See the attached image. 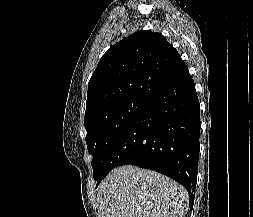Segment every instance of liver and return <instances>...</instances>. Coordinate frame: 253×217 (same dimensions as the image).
Listing matches in <instances>:
<instances>
[{
	"label": "liver",
	"instance_id": "6515ba94",
	"mask_svg": "<svg viewBox=\"0 0 253 217\" xmlns=\"http://www.w3.org/2000/svg\"><path fill=\"white\" fill-rule=\"evenodd\" d=\"M100 217H184L186 189L155 171L124 165L97 188Z\"/></svg>",
	"mask_w": 253,
	"mask_h": 217
}]
</instances>
